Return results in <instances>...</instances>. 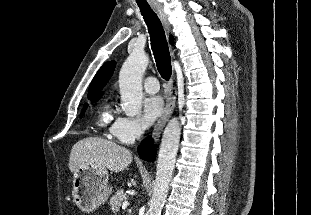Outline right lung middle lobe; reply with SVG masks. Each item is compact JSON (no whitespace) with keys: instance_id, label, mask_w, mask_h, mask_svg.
Masks as SVG:
<instances>
[{"instance_id":"dd1d6c3e","label":"right lung middle lobe","mask_w":311,"mask_h":215,"mask_svg":"<svg viewBox=\"0 0 311 215\" xmlns=\"http://www.w3.org/2000/svg\"><path fill=\"white\" fill-rule=\"evenodd\" d=\"M99 99H100V97H97V98H91L90 100H91L92 102H95V101H97V100H99ZM86 107H87V104H85V105H84V108H83L82 114L84 113V111H85Z\"/></svg>"}]
</instances>
